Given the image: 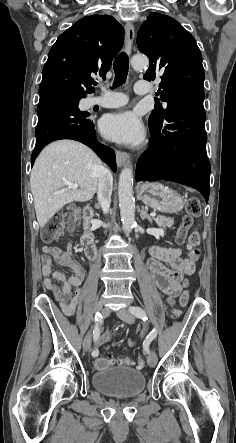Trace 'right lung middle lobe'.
I'll list each match as a JSON object with an SVG mask.
<instances>
[{"instance_id": "dd1d6c3e", "label": "right lung middle lobe", "mask_w": 236, "mask_h": 443, "mask_svg": "<svg viewBox=\"0 0 236 443\" xmlns=\"http://www.w3.org/2000/svg\"><path fill=\"white\" fill-rule=\"evenodd\" d=\"M67 96H69L77 101H79L81 98L85 97V96H70V95H67Z\"/></svg>"}]
</instances>
